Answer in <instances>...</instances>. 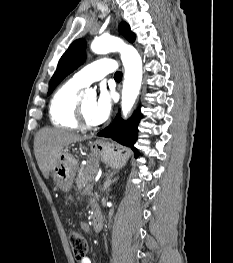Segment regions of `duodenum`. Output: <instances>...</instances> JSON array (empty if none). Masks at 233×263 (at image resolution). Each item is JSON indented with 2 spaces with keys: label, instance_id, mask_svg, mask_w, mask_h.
<instances>
[{
  "label": "duodenum",
  "instance_id": "obj_1",
  "mask_svg": "<svg viewBox=\"0 0 233 263\" xmlns=\"http://www.w3.org/2000/svg\"><path fill=\"white\" fill-rule=\"evenodd\" d=\"M92 226L95 232H100L103 226L102 214L96 205L93 206Z\"/></svg>",
  "mask_w": 233,
  "mask_h": 263
}]
</instances>
